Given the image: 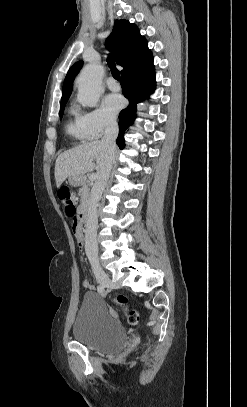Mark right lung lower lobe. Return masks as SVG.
Instances as JSON below:
<instances>
[{"label": "right lung lower lobe", "mask_w": 247, "mask_h": 407, "mask_svg": "<svg viewBox=\"0 0 247 407\" xmlns=\"http://www.w3.org/2000/svg\"><path fill=\"white\" fill-rule=\"evenodd\" d=\"M121 85L124 96L129 100L127 108L119 115V135L116 140L120 149L125 147L124 133L136 118V105L149 97L155 90L153 57L150 56L122 74Z\"/></svg>", "instance_id": "obj_1"}]
</instances>
